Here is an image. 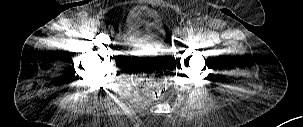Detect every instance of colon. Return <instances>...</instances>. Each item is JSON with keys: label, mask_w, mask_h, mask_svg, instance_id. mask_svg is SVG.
<instances>
[{"label": "colon", "mask_w": 303, "mask_h": 127, "mask_svg": "<svg viewBox=\"0 0 303 127\" xmlns=\"http://www.w3.org/2000/svg\"><path fill=\"white\" fill-rule=\"evenodd\" d=\"M166 68L162 59L135 62L133 72L137 88L151 97H162L167 89Z\"/></svg>", "instance_id": "1"}]
</instances>
